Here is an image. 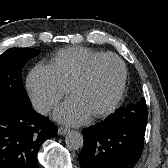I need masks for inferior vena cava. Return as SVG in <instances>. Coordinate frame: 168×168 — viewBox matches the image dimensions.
Masks as SVG:
<instances>
[{
  "mask_svg": "<svg viewBox=\"0 0 168 168\" xmlns=\"http://www.w3.org/2000/svg\"><path fill=\"white\" fill-rule=\"evenodd\" d=\"M48 110H49V106L46 104H41L36 106V111L41 114H45Z\"/></svg>",
  "mask_w": 168,
  "mask_h": 168,
  "instance_id": "obj_1",
  "label": "inferior vena cava"
}]
</instances>
